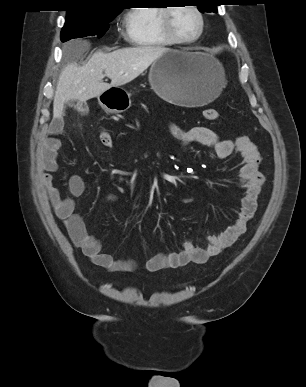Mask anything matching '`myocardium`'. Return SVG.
<instances>
[{
  "label": "myocardium",
  "instance_id": "f54148a6",
  "mask_svg": "<svg viewBox=\"0 0 306 387\" xmlns=\"http://www.w3.org/2000/svg\"><path fill=\"white\" fill-rule=\"evenodd\" d=\"M177 7L178 6H168V7L163 9V12L161 15L162 32L165 35V37L167 39H169L174 44H184V45L193 44V43L197 42L202 37V35L204 33V30H205L204 14L200 10V8L196 5L189 4V5L183 6V7H188L190 9H192L197 14L199 21H200V27H199V31H198L197 35L193 38L185 39V38H182L179 35H177V33L175 32V30L173 28L172 15H173L174 10Z\"/></svg>",
  "mask_w": 306,
  "mask_h": 387
}]
</instances>
